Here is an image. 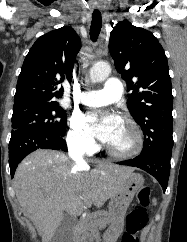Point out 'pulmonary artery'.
I'll list each match as a JSON object with an SVG mask.
<instances>
[{
  "instance_id": "1",
  "label": "pulmonary artery",
  "mask_w": 187,
  "mask_h": 242,
  "mask_svg": "<svg viewBox=\"0 0 187 242\" xmlns=\"http://www.w3.org/2000/svg\"><path fill=\"white\" fill-rule=\"evenodd\" d=\"M122 83L117 78H109L100 90H90L82 94V102L88 106H104L120 99Z\"/></svg>"
}]
</instances>
